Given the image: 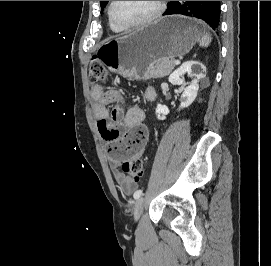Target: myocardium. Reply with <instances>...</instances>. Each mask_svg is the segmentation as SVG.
I'll return each mask as SVG.
<instances>
[{
    "label": "myocardium",
    "instance_id": "myocardium-1",
    "mask_svg": "<svg viewBox=\"0 0 271 266\" xmlns=\"http://www.w3.org/2000/svg\"><path fill=\"white\" fill-rule=\"evenodd\" d=\"M115 3H116V1L110 2L109 7H108V17H109L110 21L116 27L123 29V30L139 28V27H143L148 24H151V23L155 22L163 14V12L165 10L164 1H156V7H155V10L152 12V14H150L148 17H146L145 19H143L139 22L127 24V23H122L115 18L114 12H113V8H114Z\"/></svg>",
    "mask_w": 271,
    "mask_h": 266
}]
</instances>
